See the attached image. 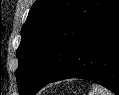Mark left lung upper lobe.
Wrapping results in <instances>:
<instances>
[{
	"label": "left lung upper lobe",
	"instance_id": "obj_1",
	"mask_svg": "<svg viewBox=\"0 0 119 95\" xmlns=\"http://www.w3.org/2000/svg\"><path fill=\"white\" fill-rule=\"evenodd\" d=\"M117 0H36L21 30L15 72L20 95H33L69 63L87 30Z\"/></svg>",
	"mask_w": 119,
	"mask_h": 95
}]
</instances>
